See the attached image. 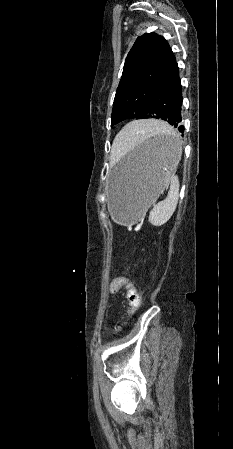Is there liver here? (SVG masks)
Returning a JSON list of instances; mask_svg holds the SVG:
<instances>
[{
    "mask_svg": "<svg viewBox=\"0 0 233 449\" xmlns=\"http://www.w3.org/2000/svg\"><path fill=\"white\" fill-rule=\"evenodd\" d=\"M162 125H164V124H162ZM165 126H166V125H165ZM120 142H121V135L119 134V135L116 137V139H115L114 146H113V150H116V149H117V147L119 146Z\"/></svg>",
    "mask_w": 233,
    "mask_h": 449,
    "instance_id": "obj_1",
    "label": "liver"
}]
</instances>
